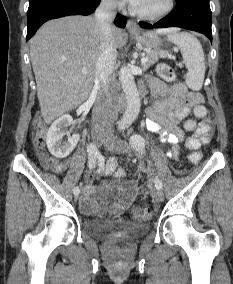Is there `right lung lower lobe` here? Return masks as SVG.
Here are the masks:
<instances>
[{
	"label": "right lung lower lobe",
	"mask_w": 233,
	"mask_h": 284,
	"mask_svg": "<svg viewBox=\"0 0 233 284\" xmlns=\"http://www.w3.org/2000/svg\"><path fill=\"white\" fill-rule=\"evenodd\" d=\"M100 0H30L27 12V40L46 21L68 15H89ZM127 18L118 14L115 25L124 28Z\"/></svg>",
	"instance_id": "1"
}]
</instances>
